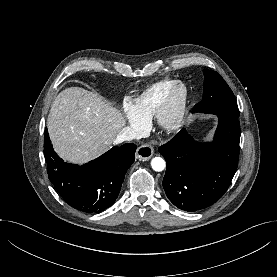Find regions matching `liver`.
Instances as JSON below:
<instances>
[{
  "instance_id": "1",
  "label": "liver",
  "mask_w": 277,
  "mask_h": 277,
  "mask_svg": "<svg viewBox=\"0 0 277 277\" xmlns=\"http://www.w3.org/2000/svg\"><path fill=\"white\" fill-rule=\"evenodd\" d=\"M125 124L119 110L96 93L79 87L59 93L47 120L55 151L66 161L78 164L107 151Z\"/></svg>"
}]
</instances>
